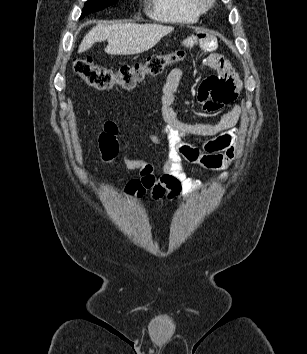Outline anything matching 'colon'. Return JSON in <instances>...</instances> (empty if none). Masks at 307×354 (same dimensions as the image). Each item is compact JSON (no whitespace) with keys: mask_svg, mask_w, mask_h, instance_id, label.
Returning a JSON list of instances; mask_svg holds the SVG:
<instances>
[{"mask_svg":"<svg viewBox=\"0 0 307 354\" xmlns=\"http://www.w3.org/2000/svg\"><path fill=\"white\" fill-rule=\"evenodd\" d=\"M184 57L183 50L154 54L144 62L125 65L115 70L99 66L90 58H79L73 62V70L84 82L98 90H106L116 85L131 89L147 76L161 74L167 66L182 61ZM111 144L115 146L114 142Z\"/></svg>","mask_w":307,"mask_h":354,"instance_id":"1","label":"colon"}]
</instances>
